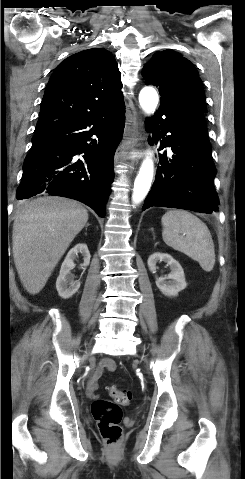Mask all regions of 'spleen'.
Returning a JSON list of instances; mask_svg holds the SVG:
<instances>
[{
    "label": "spleen",
    "mask_w": 245,
    "mask_h": 479,
    "mask_svg": "<svg viewBox=\"0 0 245 479\" xmlns=\"http://www.w3.org/2000/svg\"><path fill=\"white\" fill-rule=\"evenodd\" d=\"M164 242L174 250L197 261L210 272L215 265V249L211 233L204 222L184 210H170L162 219Z\"/></svg>",
    "instance_id": "spleen-1"
}]
</instances>
